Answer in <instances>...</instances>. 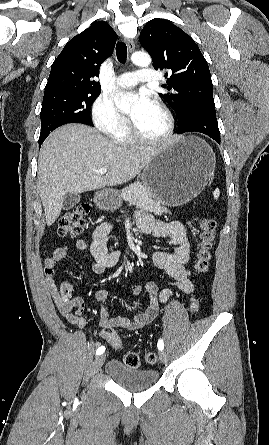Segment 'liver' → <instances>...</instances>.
Here are the masks:
<instances>
[{
	"instance_id": "1",
	"label": "liver",
	"mask_w": 269,
	"mask_h": 445,
	"mask_svg": "<svg viewBox=\"0 0 269 445\" xmlns=\"http://www.w3.org/2000/svg\"><path fill=\"white\" fill-rule=\"evenodd\" d=\"M163 148L121 144L83 124L56 129L43 143L38 159L37 184L47 226L59 217L65 194L129 182ZM100 168L107 174H98Z\"/></svg>"
}]
</instances>
